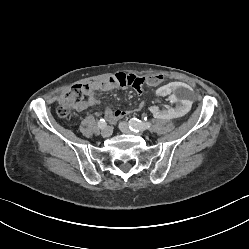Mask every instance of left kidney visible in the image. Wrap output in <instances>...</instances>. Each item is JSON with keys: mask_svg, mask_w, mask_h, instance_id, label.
<instances>
[{"mask_svg": "<svg viewBox=\"0 0 249 249\" xmlns=\"http://www.w3.org/2000/svg\"><path fill=\"white\" fill-rule=\"evenodd\" d=\"M157 97L165 103H155L151 107V114L160 119H183L196 101L195 91L179 80L166 83L157 90Z\"/></svg>", "mask_w": 249, "mask_h": 249, "instance_id": "obj_1", "label": "left kidney"}]
</instances>
